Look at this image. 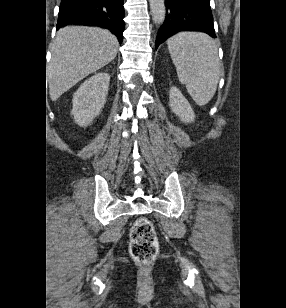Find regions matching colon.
<instances>
[{
  "instance_id": "5ec220e1",
  "label": "colon",
  "mask_w": 286,
  "mask_h": 308,
  "mask_svg": "<svg viewBox=\"0 0 286 308\" xmlns=\"http://www.w3.org/2000/svg\"><path fill=\"white\" fill-rule=\"evenodd\" d=\"M130 254L139 263H150L158 255L159 242L152 222L147 218L135 221L130 231Z\"/></svg>"
}]
</instances>
